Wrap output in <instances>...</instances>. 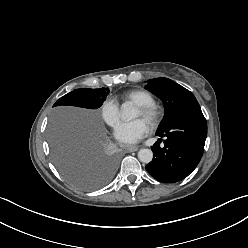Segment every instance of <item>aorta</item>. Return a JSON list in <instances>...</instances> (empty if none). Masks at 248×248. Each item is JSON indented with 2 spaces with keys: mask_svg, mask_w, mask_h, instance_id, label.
Listing matches in <instances>:
<instances>
[{
  "mask_svg": "<svg viewBox=\"0 0 248 248\" xmlns=\"http://www.w3.org/2000/svg\"><path fill=\"white\" fill-rule=\"evenodd\" d=\"M136 116V111L128 104L124 103L121 106V117L124 120H131ZM153 158V152L151 149L143 148L138 152V159L142 163H150Z\"/></svg>",
  "mask_w": 248,
  "mask_h": 248,
  "instance_id": "762f6f07",
  "label": "aorta"
}]
</instances>
